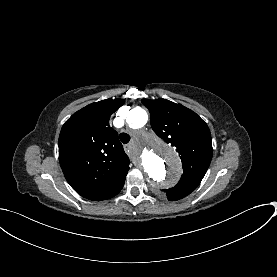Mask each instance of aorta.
I'll use <instances>...</instances> for the list:
<instances>
[{"instance_id": "1", "label": "aorta", "mask_w": 277, "mask_h": 277, "mask_svg": "<svg viewBox=\"0 0 277 277\" xmlns=\"http://www.w3.org/2000/svg\"><path fill=\"white\" fill-rule=\"evenodd\" d=\"M147 120L146 111L140 107L127 114V122L133 129L143 127ZM138 158L142 169L155 186H166L180 176L181 162L178 154L154 134L144 136Z\"/></svg>"}]
</instances>
